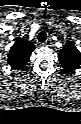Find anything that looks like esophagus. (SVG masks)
<instances>
[{
	"label": "esophagus",
	"mask_w": 81,
	"mask_h": 124,
	"mask_svg": "<svg viewBox=\"0 0 81 124\" xmlns=\"http://www.w3.org/2000/svg\"><path fill=\"white\" fill-rule=\"evenodd\" d=\"M51 44H52L51 39H47L45 42L42 43V46L49 47V46H51Z\"/></svg>",
	"instance_id": "34e87169"
}]
</instances>
